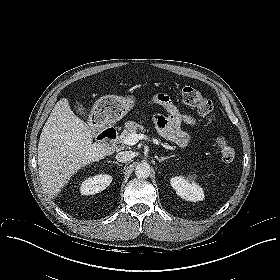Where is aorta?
Wrapping results in <instances>:
<instances>
[{
    "instance_id": "aorta-1",
    "label": "aorta",
    "mask_w": 280,
    "mask_h": 280,
    "mask_svg": "<svg viewBox=\"0 0 280 280\" xmlns=\"http://www.w3.org/2000/svg\"><path fill=\"white\" fill-rule=\"evenodd\" d=\"M151 172L150 165L148 163L142 162L137 165L135 169V175L137 178L146 179L149 177Z\"/></svg>"
}]
</instances>
